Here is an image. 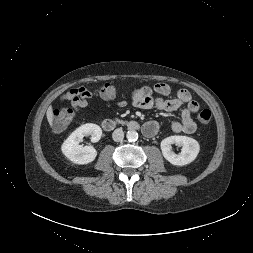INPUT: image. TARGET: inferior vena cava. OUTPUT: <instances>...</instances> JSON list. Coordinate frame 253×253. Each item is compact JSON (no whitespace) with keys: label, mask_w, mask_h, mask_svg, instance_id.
<instances>
[{"label":"inferior vena cava","mask_w":253,"mask_h":253,"mask_svg":"<svg viewBox=\"0 0 253 253\" xmlns=\"http://www.w3.org/2000/svg\"><path fill=\"white\" fill-rule=\"evenodd\" d=\"M112 138L114 141L119 142L122 141L124 138V132L121 128L115 129L112 133Z\"/></svg>","instance_id":"602c4592"}]
</instances>
